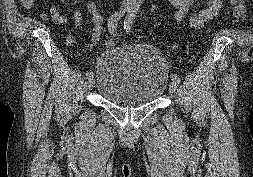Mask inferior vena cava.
Segmentation results:
<instances>
[{"label":"inferior vena cava","instance_id":"1","mask_svg":"<svg viewBox=\"0 0 253 177\" xmlns=\"http://www.w3.org/2000/svg\"><path fill=\"white\" fill-rule=\"evenodd\" d=\"M130 0H123V4H128Z\"/></svg>","mask_w":253,"mask_h":177}]
</instances>
